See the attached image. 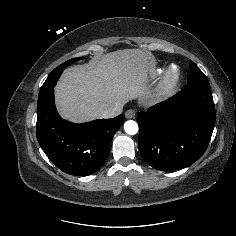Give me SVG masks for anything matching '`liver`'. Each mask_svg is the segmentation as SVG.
<instances>
[{
    "label": "liver",
    "mask_w": 236,
    "mask_h": 236,
    "mask_svg": "<svg viewBox=\"0 0 236 236\" xmlns=\"http://www.w3.org/2000/svg\"><path fill=\"white\" fill-rule=\"evenodd\" d=\"M150 59L151 55L141 50L125 49L106 54L101 61L66 69L55 92L60 115L85 122L141 96Z\"/></svg>",
    "instance_id": "6515ba94"
}]
</instances>
